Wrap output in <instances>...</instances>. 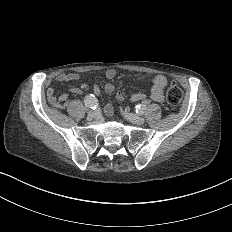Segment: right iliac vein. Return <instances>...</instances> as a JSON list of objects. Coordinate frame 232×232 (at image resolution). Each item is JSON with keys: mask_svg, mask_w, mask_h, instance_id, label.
<instances>
[{"mask_svg": "<svg viewBox=\"0 0 232 232\" xmlns=\"http://www.w3.org/2000/svg\"><path fill=\"white\" fill-rule=\"evenodd\" d=\"M87 119H88V120H92V119H93V115H92V114H88V115H87Z\"/></svg>", "mask_w": 232, "mask_h": 232, "instance_id": "right-iliac-vein-1", "label": "right iliac vein"}]
</instances>
